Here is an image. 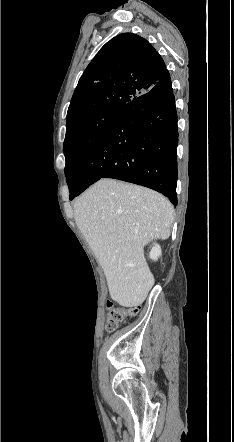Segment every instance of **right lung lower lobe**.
Returning a JSON list of instances; mask_svg holds the SVG:
<instances>
[{
  "label": "right lung lower lobe",
  "mask_w": 234,
  "mask_h": 442,
  "mask_svg": "<svg viewBox=\"0 0 234 442\" xmlns=\"http://www.w3.org/2000/svg\"><path fill=\"white\" fill-rule=\"evenodd\" d=\"M177 113L168 70L120 108L70 173V200L102 177L154 189L177 205Z\"/></svg>",
  "instance_id": "obj_1"
}]
</instances>
